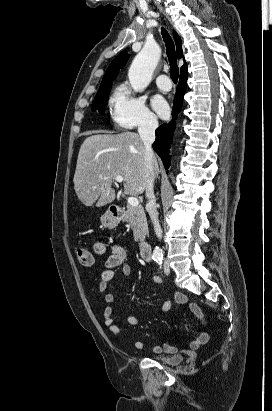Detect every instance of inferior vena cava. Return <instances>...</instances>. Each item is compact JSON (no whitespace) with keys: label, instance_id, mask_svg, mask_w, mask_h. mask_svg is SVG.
Segmentation results:
<instances>
[{"label":"inferior vena cava","instance_id":"inferior-vena-cava-1","mask_svg":"<svg viewBox=\"0 0 272 411\" xmlns=\"http://www.w3.org/2000/svg\"><path fill=\"white\" fill-rule=\"evenodd\" d=\"M158 127V121L155 117L144 118L138 127L139 136L144 144V161L145 170L147 174V186H146V210L152 220L154 231L156 236L162 238V229L158 220V212L156 208V199L154 195V172H153V150L152 144L155 140V130Z\"/></svg>","mask_w":272,"mask_h":411}]
</instances>
